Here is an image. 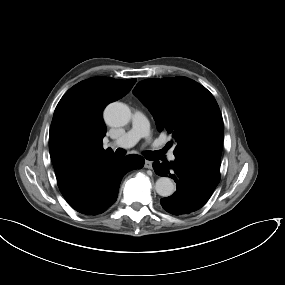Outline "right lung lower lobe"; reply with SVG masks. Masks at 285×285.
Returning <instances> with one entry per match:
<instances>
[{
    "instance_id": "right-lung-lower-lobe-1",
    "label": "right lung lower lobe",
    "mask_w": 285,
    "mask_h": 285,
    "mask_svg": "<svg viewBox=\"0 0 285 285\" xmlns=\"http://www.w3.org/2000/svg\"><path fill=\"white\" fill-rule=\"evenodd\" d=\"M143 166L144 158L139 155L110 159L91 170L63 196L81 214H101L116 201L123 175Z\"/></svg>"
}]
</instances>
